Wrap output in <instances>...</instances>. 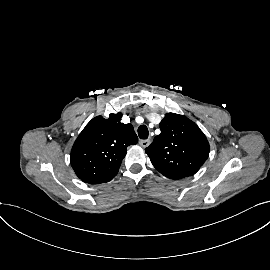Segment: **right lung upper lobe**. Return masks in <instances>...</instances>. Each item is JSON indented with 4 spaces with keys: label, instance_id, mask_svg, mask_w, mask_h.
I'll return each instance as SVG.
<instances>
[{
    "label": "right lung upper lobe",
    "instance_id": "cb5924a9",
    "mask_svg": "<svg viewBox=\"0 0 270 270\" xmlns=\"http://www.w3.org/2000/svg\"><path fill=\"white\" fill-rule=\"evenodd\" d=\"M121 113L93 118L76 139L70 155L76 175L89 184L110 181L118 173L127 147L138 142L131 124L120 122Z\"/></svg>",
    "mask_w": 270,
    "mask_h": 270
}]
</instances>
